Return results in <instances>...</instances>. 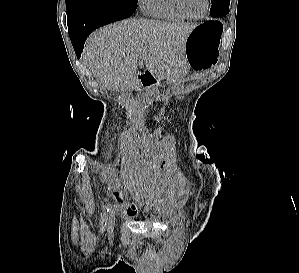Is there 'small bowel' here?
I'll return each mask as SVG.
<instances>
[{
	"label": "small bowel",
	"instance_id": "c3829d8e",
	"mask_svg": "<svg viewBox=\"0 0 299 273\" xmlns=\"http://www.w3.org/2000/svg\"><path fill=\"white\" fill-rule=\"evenodd\" d=\"M115 196H116V199L119 202L126 203V200H125L124 195L122 193H116ZM137 211H138V205L137 204L127 203V214L128 215L134 216V215H136Z\"/></svg>",
	"mask_w": 299,
	"mask_h": 273
}]
</instances>
